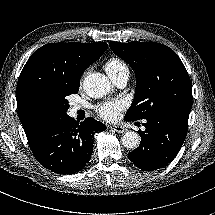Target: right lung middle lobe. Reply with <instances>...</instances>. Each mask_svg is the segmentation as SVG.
Here are the masks:
<instances>
[{"mask_svg": "<svg viewBox=\"0 0 215 215\" xmlns=\"http://www.w3.org/2000/svg\"><path fill=\"white\" fill-rule=\"evenodd\" d=\"M79 87L64 89L58 93L41 95L37 100V107L41 115L51 123H57L67 116L69 109L67 97L76 94Z\"/></svg>", "mask_w": 215, "mask_h": 215, "instance_id": "1", "label": "right lung middle lobe"}]
</instances>
